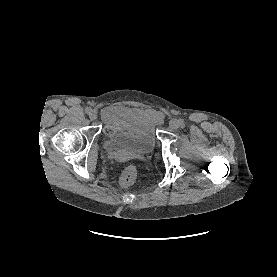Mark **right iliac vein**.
<instances>
[{
	"mask_svg": "<svg viewBox=\"0 0 277 277\" xmlns=\"http://www.w3.org/2000/svg\"><path fill=\"white\" fill-rule=\"evenodd\" d=\"M89 117L91 120H96L97 119V112L96 111H91V113L89 114Z\"/></svg>",
	"mask_w": 277,
	"mask_h": 277,
	"instance_id": "63e3f726",
	"label": "right iliac vein"
}]
</instances>
